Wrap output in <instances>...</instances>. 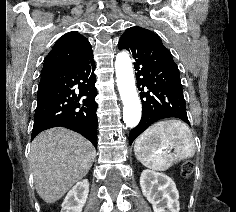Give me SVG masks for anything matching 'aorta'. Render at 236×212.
I'll use <instances>...</instances> for the list:
<instances>
[{
    "instance_id": "aorta-1",
    "label": "aorta",
    "mask_w": 236,
    "mask_h": 212,
    "mask_svg": "<svg viewBox=\"0 0 236 212\" xmlns=\"http://www.w3.org/2000/svg\"><path fill=\"white\" fill-rule=\"evenodd\" d=\"M117 86L123 102V120L127 127H135L141 119V103L135 86L132 62L127 52L117 54L115 60Z\"/></svg>"
}]
</instances>
